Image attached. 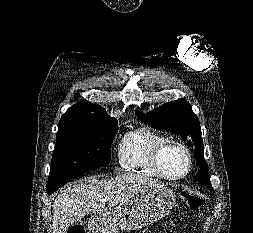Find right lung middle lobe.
Masks as SVG:
<instances>
[{
    "instance_id": "dd1d6c3e",
    "label": "right lung middle lobe",
    "mask_w": 253,
    "mask_h": 233,
    "mask_svg": "<svg viewBox=\"0 0 253 233\" xmlns=\"http://www.w3.org/2000/svg\"><path fill=\"white\" fill-rule=\"evenodd\" d=\"M115 119L63 115L59 121L49 178L63 173L104 166L117 133Z\"/></svg>"
}]
</instances>
